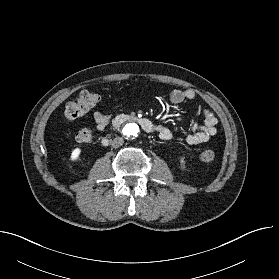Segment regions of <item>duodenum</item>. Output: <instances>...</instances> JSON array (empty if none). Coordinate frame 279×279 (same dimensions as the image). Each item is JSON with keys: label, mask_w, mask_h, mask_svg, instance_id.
<instances>
[{"label": "duodenum", "mask_w": 279, "mask_h": 279, "mask_svg": "<svg viewBox=\"0 0 279 279\" xmlns=\"http://www.w3.org/2000/svg\"><path fill=\"white\" fill-rule=\"evenodd\" d=\"M130 120H134V121H137L140 126L146 131V132H153L154 131V126L153 124L146 118H137V117H134V116H130V115H126V114H122V115H119L115 121H114V127L115 128H118L119 126H121L122 124H124L125 122L127 121H130ZM101 144L102 146L106 147L108 146L109 144V139L108 138H103L101 140Z\"/></svg>", "instance_id": "obj_1"}]
</instances>
